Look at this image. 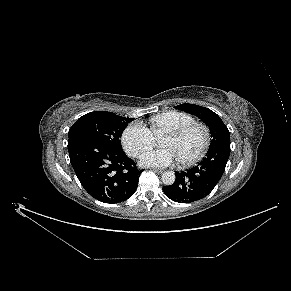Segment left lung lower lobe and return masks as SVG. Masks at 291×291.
Instances as JSON below:
<instances>
[{
    "instance_id": "obj_1",
    "label": "left lung lower lobe",
    "mask_w": 291,
    "mask_h": 291,
    "mask_svg": "<svg viewBox=\"0 0 291 291\" xmlns=\"http://www.w3.org/2000/svg\"><path fill=\"white\" fill-rule=\"evenodd\" d=\"M230 155V145H220L206 153L195 167L176 172L172 185L164 186L165 195L179 203H191L205 198L217 185Z\"/></svg>"
}]
</instances>
